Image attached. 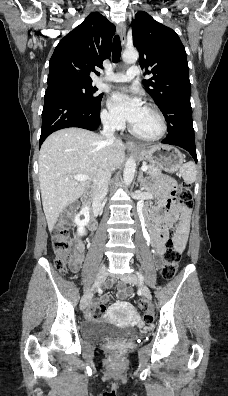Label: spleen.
Returning a JSON list of instances; mask_svg holds the SVG:
<instances>
[{
    "label": "spleen",
    "mask_w": 228,
    "mask_h": 396,
    "mask_svg": "<svg viewBox=\"0 0 228 396\" xmlns=\"http://www.w3.org/2000/svg\"><path fill=\"white\" fill-rule=\"evenodd\" d=\"M180 175L187 184H192L196 180V168L193 162H187L180 168Z\"/></svg>",
    "instance_id": "3e777b00"
}]
</instances>
